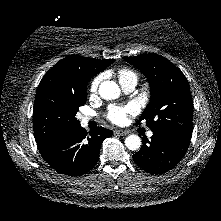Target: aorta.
<instances>
[{
    "instance_id": "obj_1",
    "label": "aorta",
    "mask_w": 221,
    "mask_h": 221,
    "mask_svg": "<svg viewBox=\"0 0 221 221\" xmlns=\"http://www.w3.org/2000/svg\"><path fill=\"white\" fill-rule=\"evenodd\" d=\"M121 90L116 82L104 81L99 86V95L105 100H114L120 96ZM125 145L129 150H138L141 146V139L137 135H129L125 139Z\"/></svg>"
}]
</instances>
